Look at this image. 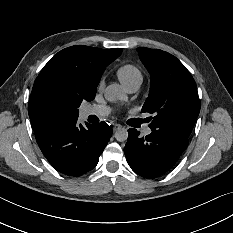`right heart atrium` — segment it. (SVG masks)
Here are the masks:
<instances>
[{"mask_svg":"<svg viewBox=\"0 0 233 233\" xmlns=\"http://www.w3.org/2000/svg\"><path fill=\"white\" fill-rule=\"evenodd\" d=\"M103 84H104V80H101V82H100V87H102Z\"/></svg>","mask_w":233,"mask_h":233,"instance_id":"right-heart-atrium-1","label":"right heart atrium"}]
</instances>
